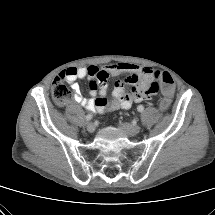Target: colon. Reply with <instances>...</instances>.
I'll return each instance as SVG.
<instances>
[{"mask_svg":"<svg viewBox=\"0 0 215 215\" xmlns=\"http://www.w3.org/2000/svg\"><path fill=\"white\" fill-rule=\"evenodd\" d=\"M153 75L156 82L151 85L145 94L150 95L155 93L160 85L165 95L160 103V108L165 111L171 104V95L173 93L174 82L171 75L167 72H155ZM69 95L70 91L64 84L63 79L61 77H56L52 83V96L55 102L59 105H63L68 100Z\"/></svg>","mask_w":215,"mask_h":215,"instance_id":"1","label":"colon"}]
</instances>
